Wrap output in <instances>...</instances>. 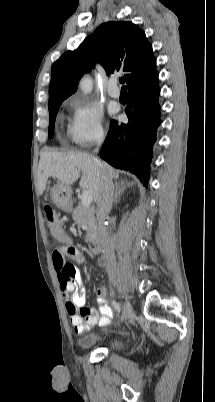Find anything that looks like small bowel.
<instances>
[{
    "instance_id": "c3829d8e",
    "label": "small bowel",
    "mask_w": 215,
    "mask_h": 402,
    "mask_svg": "<svg viewBox=\"0 0 215 402\" xmlns=\"http://www.w3.org/2000/svg\"><path fill=\"white\" fill-rule=\"evenodd\" d=\"M84 260L83 253L72 245L70 239L67 244H63L52 253V262L57 273L61 295L65 301L70 323L77 334H82L97 324L106 326L113 317V310L106 300L105 286H99L96 290L98 309L84 307L85 284L73 266V264H82Z\"/></svg>"
}]
</instances>
